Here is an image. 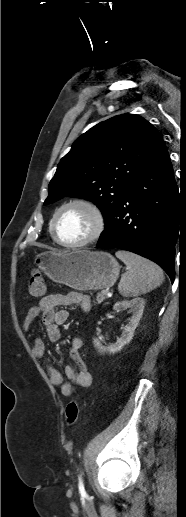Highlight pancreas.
Wrapping results in <instances>:
<instances>
[{
  "mask_svg": "<svg viewBox=\"0 0 186 517\" xmlns=\"http://www.w3.org/2000/svg\"><path fill=\"white\" fill-rule=\"evenodd\" d=\"M106 298L107 297H106L105 293H103V292L97 293L96 300H97L98 304L102 303Z\"/></svg>",
  "mask_w": 186,
  "mask_h": 517,
  "instance_id": "obj_1",
  "label": "pancreas"
}]
</instances>
